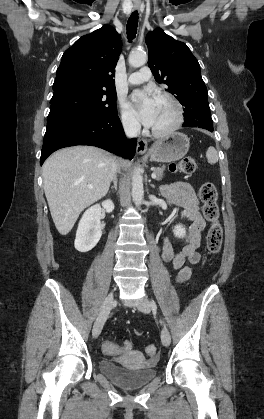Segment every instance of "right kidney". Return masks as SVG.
Masks as SVG:
<instances>
[{
	"label": "right kidney",
	"instance_id": "obj_1",
	"mask_svg": "<svg viewBox=\"0 0 264 419\" xmlns=\"http://www.w3.org/2000/svg\"><path fill=\"white\" fill-rule=\"evenodd\" d=\"M101 206L108 213L114 210V203L111 200H105L101 205L96 204L84 212L78 225L74 243L76 250L79 252L92 250L101 238Z\"/></svg>",
	"mask_w": 264,
	"mask_h": 419
}]
</instances>
